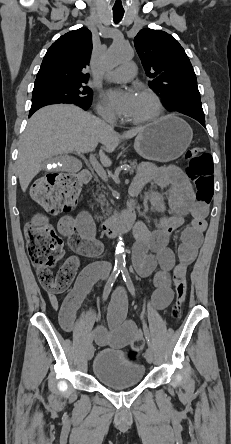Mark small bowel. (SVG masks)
I'll list each match as a JSON object with an SVG mask.
<instances>
[{"label": "small bowel", "mask_w": 231, "mask_h": 444, "mask_svg": "<svg viewBox=\"0 0 231 444\" xmlns=\"http://www.w3.org/2000/svg\"><path fill=\"white\" fill-rule=\"evenodd\" d=\"M153 183L168 190L170 215L166 213L159 194L151 188ZM145 187H149V198L161 216L153 230L147 229L142 222L136 224L132 261L140 275L144 277L153 275L155 290L152 295V305L157 309H164L173 298L172 278L185 276L189 265L196 258L209 208L206 203L195 199L192 184L176 166L143 167L134 177L130 193L135 196ZM186 216L192 218V223L182 234V243L176 261L168 243L171 234L183 224ZM58 231L68 239L70 247L80 255L95 257L103 250L102 244L94 239L93 224L86 213L77 218L63 216L59 220ZM105 272L106 265L101 263L84 267L62 303L57 295L49 293L50 304L58 311L59 322L64 330L74 331L90 319V312L81 319L76 317V313L92 286L104 276ZM126 307V296L123 292L117 291L109 309V328L97 326L93 331L98 345L120 349L137 340L143 341L142 331L136 323L123 319Z\"/></svg>", "instance_id": "c3829d8e"}]
</instances>
